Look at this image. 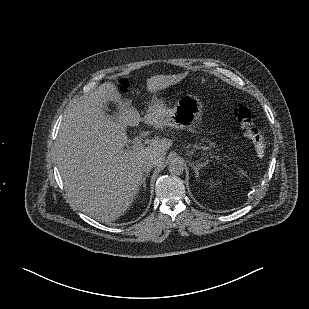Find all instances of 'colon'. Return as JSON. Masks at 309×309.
<instances>
[{
    "label": "colon",
    "mask_w": 309,
    "mask_h": 309,
    "mask_svg": "<svg viewBox=\"0 0 309 309\" xmlns=\"http://www.w3.org/2000/svg\"><path fill=\"white\" fill-rule=\"evenodd\" d=\"M128 86L127 79L123 78L119 81L118 87L122 91H125ZM233 115L240 123L245 136L252 141L256 152L263 155L266 150V141L260 129L254 124L250 109L244 105H239L234 109Z\"/></svg>",
    "instance_id": "5ec220e1"
}]
</instances>
